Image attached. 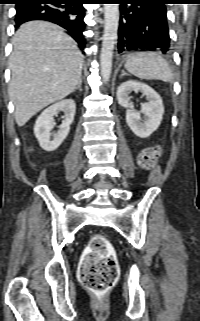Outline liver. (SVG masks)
Instances as JSON below:
<instances>
[{
	"mask_svg": "<svg viewBox=\"0 0 200 321\" xmlns=\"http://www.w3.org/2000/svg\"><path fill=\"white\" fill-rule=\"evenodd\" d=\"M82 65L77 43L60 27L44 21L23 24L14 35L9 59V96L17 125L24 126L40 110L73 92Z\"/></svg>",
	"mask_w": 200,
	"mask_h": 321,
	"instance_id": "6515ba94",
	"label": "liver"
}]
</instances>
